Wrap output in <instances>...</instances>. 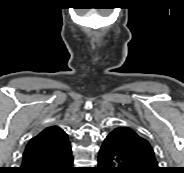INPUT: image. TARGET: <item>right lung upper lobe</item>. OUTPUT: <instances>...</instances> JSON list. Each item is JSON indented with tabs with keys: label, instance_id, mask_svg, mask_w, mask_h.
Instances as JSON below:
<instances>
[{
	"label": "right lung upper lobe",
	"instance_id": "1",
	"mask_svg": "<svg viewBox=\"0 0 184 173\" xmlns=\"http://www.w3.org/2000/svg\"><path fill=\"white\" fill-rule=\"evenodd\" d=\"M69 148L67 134L62 128L58 126L47 127L27 144L23 154V164L57 156Z\"/></svg>",
	"mask_w": 184,
	"mask_h": 173
}]
</instances>
